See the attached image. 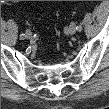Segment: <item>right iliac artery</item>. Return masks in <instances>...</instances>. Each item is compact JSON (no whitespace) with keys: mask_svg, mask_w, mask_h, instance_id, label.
Wrapping results in <instances>:
<instances>
[{"mask_svg":"<svg viewBox=\"0 0 109 109\" xmlns=\"http://www.w3.org/2000/svg\"><path fill=\"white\" fill-rule=\"evenodd\" d=\"M20 38H21V39H24V38H25V34H23V33L20 34Z\"/></svg>","mask_w":109,"mask_h":109,"instance_id":"82829eb1","label":"right iliac artery"}]
</instances>
